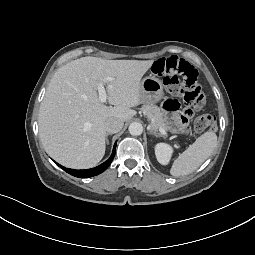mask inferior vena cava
<instances>
[{
  "label": "inferior vena cava",
  "mask_w": 255,
  "mask_h": 255,
  "mask_svg": "<svg viewBox=\"0 0 255 255\" xmlns=\"http://www.w3.org/2000/svg\"><path fill=\"white\" fill-rule=\"evenodd\" d=\"M124 125V121L116 118H109L105 122V129L108 133H117L119 132Z\"/></svg>",
  "instance_id": "1"
}]
</instances>
